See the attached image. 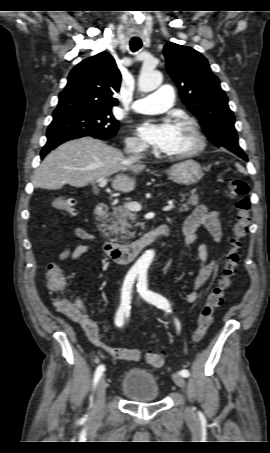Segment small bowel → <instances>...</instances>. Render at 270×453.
<instances>
[{
    "mask_svg": "<svg viewBox=\"0 0 270 453\" xmlns=\"http://www.w3.org/2000/svg\"><path fill=\"white\" fill-rule=\"evenodd\" d=\"M202 224L207 228L216 242H219L221 240L222 231L219 213L216 211L208 210L205 205H199L193 210V212L186 218L184 222V241L180 249L177 251V256H180L182 254L186 246L194 242H199L196 231L197 228ZM73 236L77 239L86 241V243L78 245L74 249H71L69 244H65L62 251L59 253V258L61 260H78L81 256L86 254L91 249L92 243L95 240L93 234L81 227H77L73 230ZM207 256L208 250L206 244L199 242L197 249L199 267L193 281L192 289L186 295V301L189 304L197 301L200 290L216 268L217 261L214 259L210 262H207ZM76 301L79 306L80 317L70 318L84 329L88 339L93 345L117 360L138 362L142 359V352L138 349H129L123 347L113 348L104 344L100 338L98 325L89 317L86 306L80 299H77Z\"/></svg>",
    "mask_w": 270,
    "mask_h": 453,
    "instance_id": "obj_1",
    "label": "small bowel"
}]
</instances>
